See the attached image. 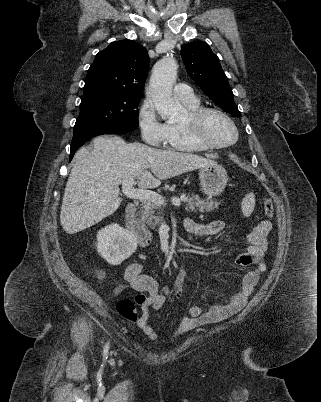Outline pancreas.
I'll use <instances>...</instances> for the list:
<instances>
[{"mask_svg": "<svg viewBox=\"0 0 321 402\" xmlns=\"http://www.w3.org/2000/svg\"><path fill=\"white\" fill-rule=\"evenodd\" d=\"M185 201L187 202L185 208L187 211L196 212L199 210L202 213L210 212L215 208H218L221 203L217 201H205L200 199L199 196L186 198ZM139 214L141 221L151 229H155V227L159 226L163 221L161 205L149 200H145L142 203Z\"/></svg>", "mask_w": 321, "mask_h": 402, "instance_id": "obj_1", "label": "pancreas"}]
</instances>
